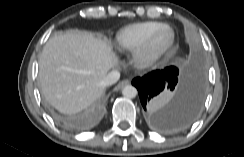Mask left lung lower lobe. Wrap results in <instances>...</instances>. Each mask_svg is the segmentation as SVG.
I'll return each instance as SVG.
<instances>
[{"label": "left lung lower lobe", "instance_id": "obj_1", "mask_svg": "<svg viewBox=\"0 0 244 157\" xmlns=\"http://www.w3.org/2000/svg\"><path fill=\"white\" fill-rule=\"evenodd\" d=\"M146 121L161 132L189 127L198 117L205 95V77L199 65H190L181 73L174 66L137 77Z\"/></svg>", "mask_w": 244, "mask_h": 157}]
</instances>
